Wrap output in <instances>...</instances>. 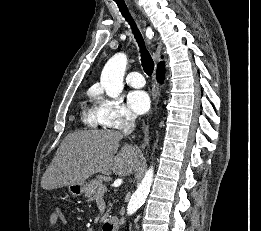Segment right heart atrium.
Masks as SVG:
<instances>
[{"instance_id":"obj_1","label":"right heart atrium","mask_w":261,"mask_h":231,"mask_svg":"<svg viewBox=\"0 0 261 231\" xmlns=\"http://www.w3.org/2000/svg\"><path fill=\"white\" fill-rule=\"evenodd\" d=\"M92 94L98 100V116L102 126L112 130H125L133 125L135 116L121 99L102 95L98 87L92 88Z\"/></svg>"}]
</instances>
